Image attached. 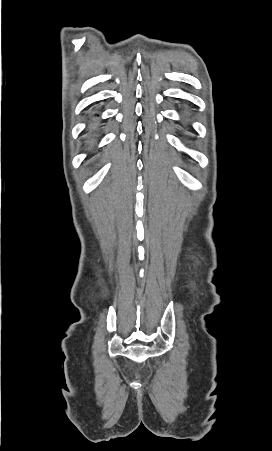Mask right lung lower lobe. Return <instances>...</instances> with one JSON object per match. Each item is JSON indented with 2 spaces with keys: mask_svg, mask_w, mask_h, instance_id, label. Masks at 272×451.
<instances>
[{
  "mask_svg": "<svg viewBox=\"0 0 272 451\" xmlns=\"http://www.w3.org/2000/svg\"><path fill=\"white\" fill-rule=\"evenodd\" d=\"M93 116H99V115L98 114H93ZM91 124H92V126H95L97 123L93 121Z\"/></svg>",
  "mask_w": 272,
  "mask_h": 451,
  "instance_id": "right-lung-lower-lobe-1",
  "label": "right lung lower lobe"
}]
</instances>
